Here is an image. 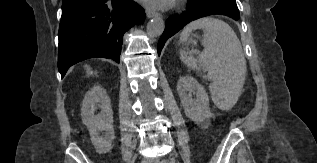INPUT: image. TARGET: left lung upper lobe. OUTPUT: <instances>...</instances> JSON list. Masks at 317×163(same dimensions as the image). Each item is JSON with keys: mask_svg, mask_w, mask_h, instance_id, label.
I'll list each match as a JSON object with an SVG mask.
<instances>
[{"mask_svg": "<svg viewBox=\"0 0 317 163\" xmlns=\"http://www.w3.org/2000/svg\"><path fill=\"white\" fill-rule=\"evenodd\" d=\"M204 4H215V5H222L234 10H238L236 0H203Z\"/></svg>", "mask_w": 317, "mask_h": 163, "instance_id": "left-lung-upper-lobe-1", "label": "left lung upper lobe"}]
</instances>
